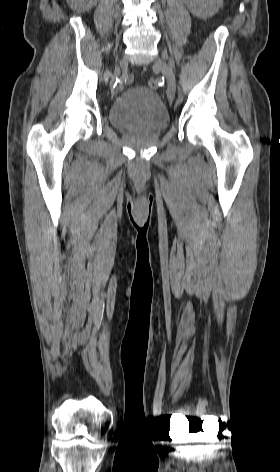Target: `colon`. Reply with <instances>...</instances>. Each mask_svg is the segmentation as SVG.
I'll return each instance as SVG.
<instances>
[{"mask_svg": "<svg viewBox=\"0 0 280 472\" xmlns=\"http://www.w3.org/2000/svg\"><path fill=\"white\" fill-rule=\"evenodd\" d=\"M148 86H149L150 88H152V89H156V88L159 87V83H158V81H157L156 79L150 78V79L148 80Z\"/></svg>", "mask_w": 280, "mask_h": 472, "instance_id": "obj_1", "label": "colon"}]
</instances>
